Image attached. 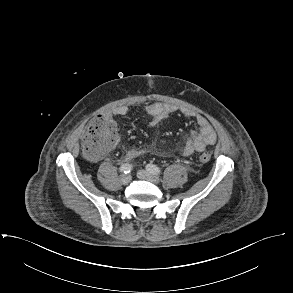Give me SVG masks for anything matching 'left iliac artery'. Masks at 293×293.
<instances>
[{
    "mask_svg": "<svg viewBox=\"0 0 293 293\" xmlns=\"http://www.w3.org/2000/svg\"><path fill=\"white\" fill-rule=\"evenodd\" d=\"M146 169H147V171H149L150 173L155 174V175H160V173H161V169L154 164H148L146 166Z\"/></svg>",
    "mask_w": 293,
    "mask_h": 293,
    "instance_id": "44dca946",
    "label": "left iliac artery"
}]
</instances>
